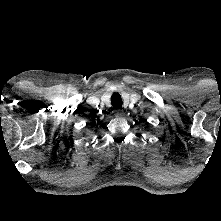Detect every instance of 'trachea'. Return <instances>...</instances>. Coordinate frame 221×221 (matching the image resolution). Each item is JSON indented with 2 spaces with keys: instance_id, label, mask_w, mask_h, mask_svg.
<instances>
[{
  "instance_id": "trachea-1",
  "label": "trachea",
  "mask_w": 221,
  "mask_h": 221,
  "mask_svg": "<svg viewBox=\"0 0 221 221\" xmlns=\"http://www.w3.org/2000/svg\"><path fill=\"white\" fill-rule=\"evenodd\" d=\"M111 104L114 108L119 109L122 107V98L119 93H114L111 96Z\"/></svg>"
}]
</instances>
